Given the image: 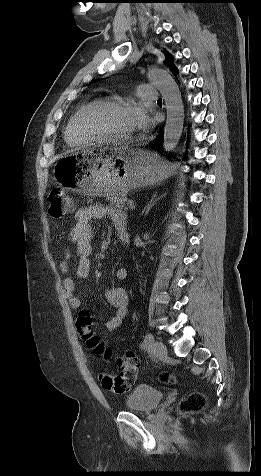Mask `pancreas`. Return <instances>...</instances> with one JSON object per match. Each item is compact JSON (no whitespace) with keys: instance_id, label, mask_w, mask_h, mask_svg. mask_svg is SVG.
Listing matches in <instances>:
<instances>
[{"instance_id":"pancreas-1","label":"pancreas","mask_w":261,"mask_h":476,"mask_svg":"<svg viewBox=\"0 0 261 476\" xmlns=\"http://www.w3.org/2000/svg\"><path fill=\"white\" fill-rule=\"evenodd\" d=\"M129 200L125 196H117L110 198L111 205H114L115 208L119 210H126V205L128 204Z\"/></svg>"}]
</instances>
